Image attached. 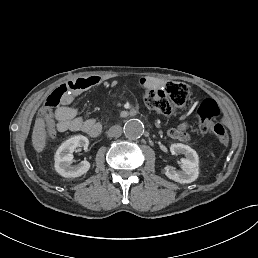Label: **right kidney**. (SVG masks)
<instances>
[{
	"label": "right kidney",
	"instance_id": "right-kidney-1",
	"mask_svg": "<svg viewBox=\"0 0 258 258\" xmlns=\"http://www.w3.org/2000/svg\"><path fill=\"white\" fill-rule=\"evenodd\" d=\"M89 145V140L83 135H76L66 140L57 149L54 159H55V170L63 177L74 178L85 174L89 168L90 163L86 160L81 161L77 165H72L73 162V152L77 147H83L87 150Z\"/></svg>",
	"mask_w": 258,
	"mask_h": 258
}]
</instances>
